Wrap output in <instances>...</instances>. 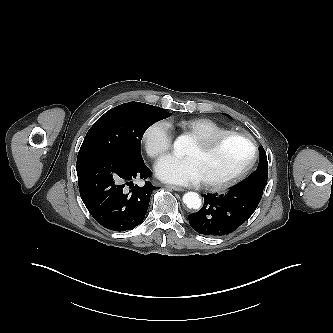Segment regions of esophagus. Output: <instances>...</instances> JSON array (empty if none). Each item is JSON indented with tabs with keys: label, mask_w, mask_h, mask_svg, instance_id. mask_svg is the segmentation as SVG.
Returning <instances> with one entry per match:
<instances>
[{
	"label": "esophagus",
	"mask_w": 333,
	"mask_h": 333,
	"mask_svg": "<svg viewBox=\"0 0 333 333\" xmlns=\"http://www.w3.org/2000/svg\"><path fill=\"white\" fill-rule=\"evenodd\" d=\"M165 187L168 188V189H171V190H175V191H184V188L174 186V185H165Z\"/></svg>",
	"instance_id": "1"
}]
</instances>
